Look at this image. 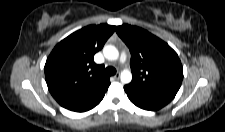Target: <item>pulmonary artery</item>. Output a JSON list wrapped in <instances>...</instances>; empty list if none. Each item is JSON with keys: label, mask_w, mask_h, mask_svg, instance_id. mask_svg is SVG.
Wrapping results in <instances>:
<instances>
[{"label": "pulmonary artery", "mask_w": 225, "mask_h": 132, "mask_svg": "<svg viewBox=\"0 0 225 132\" xmlns=\"http://www.w3.org/2000/svg\"><path fill=\"white\" fill-rule=\"evenodd\" d=\"M126 60V54L124 52L121 53L120 61L124 62Z\"/></svg>", "instance_id": "pulmonary-artery-1"}]
</instances>
